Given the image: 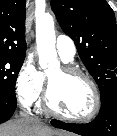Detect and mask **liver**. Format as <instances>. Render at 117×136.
<instances>
[{"mask_svg":"<svg viewBox=\"0 0 117 136\" xmlns=\"http://www.w3.org/2000/svg\"><path fill=\"white\" fill-rule=\"evenodd\" d=\"M66 136L64 132H54L52 129L34 126L24 119L10 120L0 125V136Z\"/></svg>","mask_w":117,"mask_h":136,"instance_id":"obj_1","label":"liver"}]
</instances>
